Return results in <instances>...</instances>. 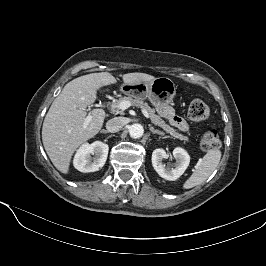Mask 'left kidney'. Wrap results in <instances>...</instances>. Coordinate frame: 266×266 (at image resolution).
Instances as JSON below:
<instances>
[{"mask_svg":"<svg viewBox=\"0 0 266 266\" xmlns=\"http://www.w3.org/2000/svg\"><path fill=\"white\" fill-rule=\"evenodd\" d=\"M172 153L176 163L174 168L171 169L163 164V160L169 157L164 149L158 148L152 153V165L155 171L159 176L169 181L178 179L185 172L190 162V156L183 148L177 147Z\"/></svg>","mask_w":266,"mask_h":266,"instance_id":"left-kidney-1","label":"left kidney"}]
</instances>
